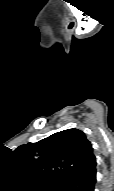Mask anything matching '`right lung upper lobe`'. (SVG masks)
<instances>
[{"label": "right lung upper lobe", "mask_w": 114, "mask_h": 191, "mask_svg": "<svg viewBox=\"0 0 114 191\" xmlns=\"http://www.w3.org/2000/svg\"><path fill=\"white\" fill-rule=\"evenodd\" d=\"M16 155L32 176L49 189L96 170L91 143L78 129H67L19 146Z\"/></svg>", "instance_id": "right-lung-upper-lobe-1"}]
</instances>
